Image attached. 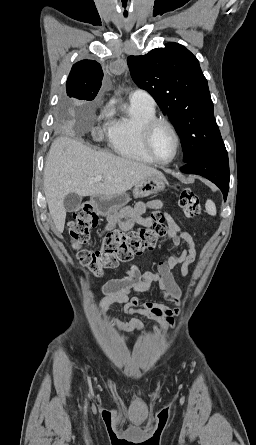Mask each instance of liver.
I'll return each mask as SVG.
<instances>
[{
	"label": "liver",
	"mask_w": 256,
	"mask_h": 445,
	"mask_svg": "<svg viewBox=\"0 0 256 445\" xmlns=\"http://www.w3.org/2000/svg\"><path fill=\"white\" fill-rule=\"evenodd\" d=\"M162 175L155 168L109 152L96 151L82 142L61 136L52 143L44 166V192L48 208L59 233L64 230V198L69 193L80 196H115L153 176ZM97 176L104 180L96 182Z\"/></svg>",
	"instance_id": "1"
}]
</instances>
